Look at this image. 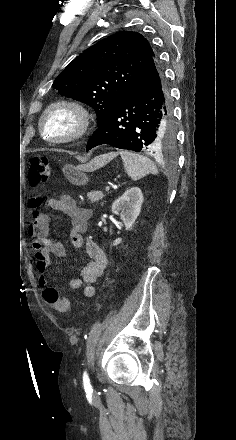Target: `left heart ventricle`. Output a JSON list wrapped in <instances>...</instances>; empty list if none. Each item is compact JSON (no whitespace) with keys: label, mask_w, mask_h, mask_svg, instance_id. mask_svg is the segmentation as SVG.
Segmentation results:
<instances>
[{"label":"left heart ventricle","mask_w":236,"mask_h":440,"mask_svg":"<svg viewBox=\"0 0 236 440\" xmlns=\"http://www.w3.org/2000/svg\"><path fill=\"white\" fill-rule=\"evenodd\" d=\"M75 128L74 118L67 112L60 110L54 112L48 119L47 130L54 135H64Z\"/></svg>","instance_id":"b2bd125f"}]
</instances>
